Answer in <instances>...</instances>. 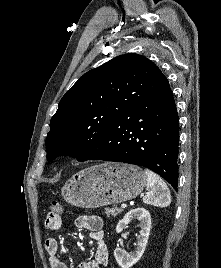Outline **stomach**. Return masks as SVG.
Returning a JSON list of instances; mask_svg holds the SVG:
<instances>
[{"mask_svg": "<svg viewBox=\"0 0 221 268\" xmlns=\"http://www.w3.org/2000/svg\"><path fill=\"white\" fill-rule=\"evenodd\" d=\"M146 182L140 167L106 162L74 174L62 187L61 194L73 206L98 208L137 197Z\"/></svg>", "mask_w": 221, "mask_h": 268, "instance_id": "obj_1", "label": "stomach"}]
</instances>
